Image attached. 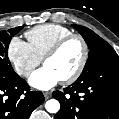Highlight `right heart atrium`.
Instances as JSON below:
<instances>
[{"label": "right heart atrium", "mask_w": 119, "mask_h": 119, "mask_svg": "<svg viewBox=\"0 0 119 119\" xmlns=\"http://www.w3.org/2000/svg\"><path fill=\"white\" fill-rule=\"evenodd\" d=\"M7 55L15 72L24 78L30 76L41 63V59L33 52L29 43L17 36L10 40Z\"/></svg>", "instance_id": "1"}]
</instances>
